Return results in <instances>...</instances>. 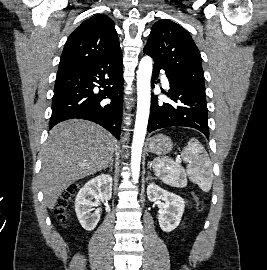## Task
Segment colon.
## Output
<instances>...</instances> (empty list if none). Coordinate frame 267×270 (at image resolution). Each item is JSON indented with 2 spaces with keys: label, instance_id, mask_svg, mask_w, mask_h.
<instances>
[{
  "label": "colon",
  "instance_id": "colon-1",
  "mask_svg": "<svg viewBox=\"0 0 267 270\" xmlns=\"http://www.w3.org/2000/svg\"><path fill=\"white\" fill-rule=\"evenodd\" d=\"M77 191V186H70L67 188L61 197L59 198L56 208H55V213L57 219L61 223H66L68 219V213L71 207V202L73 201V197L75 196V193ZM196 201V207L200 211L203 208L202 203L199 201L197 197H195Z\"/></svg>",
  "mask_w": 267,
  "mask_h": 270
}]
</instances>
